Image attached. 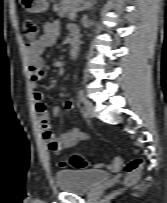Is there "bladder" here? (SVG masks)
<instances>
[{"instance_id":"31cf9c89","label":"bladder","mask_w":167,"mask_h":203,"mask_svg":"<svg viewBox=\"0 0 167 203\" xmlns=\"http://www.w3.org/2000/svg\"><path fill=\"white\" fill-rule=\"evenodd\" d=\"M58 189L66 193L81 194L91 192L100 184L110 180V173L97 169L59 170L55 173Z\"/></svg>"}]
</instances>
